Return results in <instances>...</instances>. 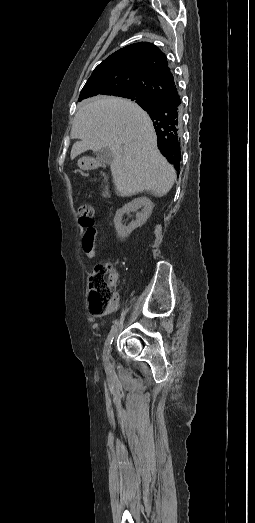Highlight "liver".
Returning <instances> with one entry per match:
<instances>
[{
    "instance_id": "1",
    "label": "liver",
    "mask_w": 255,
    "mask_h": 523,
    "mask_svg": "<svg viewBox=\"0 0 255 523\" xmlns=\"http://www.w3.org/2000/svg\"><path fill=\"white\" fill-rule=\"evenodd\" d=\"M71 136L81 140L73 144L71 160L87 150H111L110 168L120 196L144 190L166 196L171 190L175 170L160 154L153 124L137 104L112 96L90 98L79 108Z\"/></svg>"
}]
</instances>
